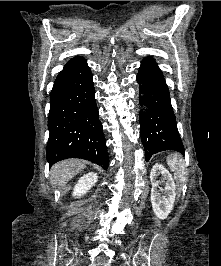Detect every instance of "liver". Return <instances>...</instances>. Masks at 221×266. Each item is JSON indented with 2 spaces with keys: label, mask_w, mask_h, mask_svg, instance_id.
Wrapping results in <instances>:
<instances>
[{
  "label": "liver",
  "mask_w": 221,
  "mask_h": 266,
  "mask_svg": "<svg viewBox=\"0 0 221 266\" xmlns=\"http://www.w3.org/2000/svg\"><path fill=\"white\" fill-rule=\"evenodd\" d=\"M86 167L85 161L68 159L56 163L50 171L51 184L54 187H64L69 180Z\"/></svg>",
  "instance_id": "obj_1"
}]
</instances>
